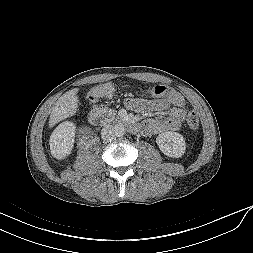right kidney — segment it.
Listing matches in <instances>:
<instances>
[{"label": "right kidney", "mask_w": 253, "mask_h": 253, "mask_svg": "<svg viewBox=\"0 0 253 253\" xmlns=\"http://www.w3.org/2000/svg\"><path fill=\"white\" fill-rule=\"evenodd\" d=\"M75 126L70 122L61 123L50 136L51 155L63 160L69 156L74 147Z\"/></svg>", "instance_id": "1"}]
</instances>
